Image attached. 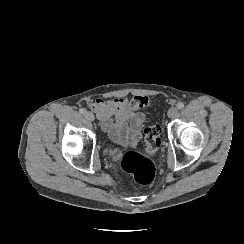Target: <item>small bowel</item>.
Listing matches in <instances>:
<instances>
[{
  "label": "small bowel",
  "instance_id": "small-bowel-1",
  "mask_svg": "<svg viewBox=\"0 0 244 244\" xmlns=\"http://www.w3.org/2000/svg\"><path fill=\"white\" fill-rule=\"evenodd\" d=\"M89 108L96 114L102 130L121 148L135 146L140 141L146 116L132 110L127 98L97 99L89 103Z\"/></svg>",
  "mask_w": 244,
  "mask_h": 244
}]
</instances>
